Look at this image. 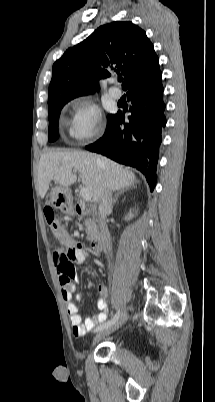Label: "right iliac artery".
Instances as JSON below:
<instances>
[{
  "label": "right iliac artery",
  "mask_w": 215,
  "mask_h": 402,
  "mask_svg": "<svg viewBox=\"0 0 215 402\" xmlns=\"http://www.w3.org/2000/svg\"><path fill=\"white\" fill-rule=\"evenodd\" d=\"M119 317H120V310L117 311V313L114 315V317H113L111 320H109V321L106 322V323H103V324L99 325V326L95 329V332H98V331H100V330H102V329H104V328H106V327H108V326L114 324V323L119 319Z\"/></svg>",
  "instance_id": "82829eb1"
}]
</instances>
